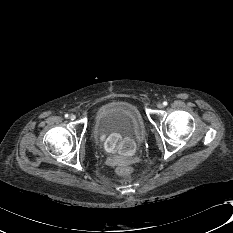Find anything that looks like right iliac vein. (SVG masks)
<instances>
[{
    "instance_id": "obj_1",
    "label": "right iliac vein",
    "mask_w": 233,
    "mask_h": 233,
    "mask_svg": "<svg viewBox=\"0 0 233 233\" xmlns=\"http://www.w3.org/2000/svg\"><path fill=\"white\" fill-rule=\"evenodd\" d=\"M71 120H75L76 119V116L74 114H71L70 117H69Z\"/></svg>"
}]
</instances>
